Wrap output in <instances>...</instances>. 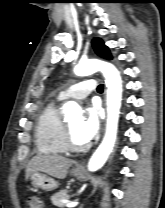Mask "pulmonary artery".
<instances>
[{
    "label": "pulmonary artery",
    "mask_w": 165,
    "mask_h": 208,
    "mask_svg": "<svg viewBox=\"0 0 165 208\" xmlns=\"http://www.w3.org/2000/svg\"><path fill=\"white\" fill-rule=\"evenodd\" d=\"M97 88V82L94 79H89L86 81L79 82L69 89L62 91L59 94L60 100H67V99H84L86 98L91 92H93Z\"/></svg>",
    "instance_id": "obj_1"
}]
</instances>
